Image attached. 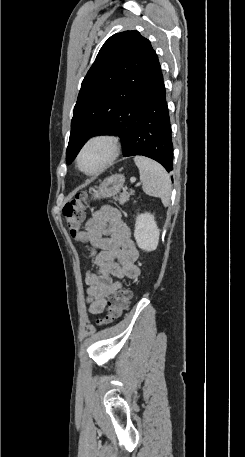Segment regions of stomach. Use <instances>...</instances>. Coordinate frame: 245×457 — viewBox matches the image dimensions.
<instances>
[{
  "label": "stomach",
  "mask_w": 245,
  "mask_h": 457,
  "mask_svg": "<svg viewBox=\"0 0 245 457\" xmlns=\"http://www.w3.org/2000/svg\"><path fill=\"white\" fill-rule=\"evenodd\" d=\"M124 174H111L104 178L103 182L93 190L94 198H106V196H115L124 186Z\"/></svg>",
  "instance_id": "stomach-1"
}]
</instances>
